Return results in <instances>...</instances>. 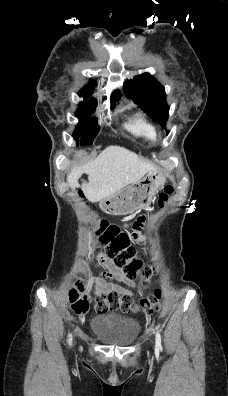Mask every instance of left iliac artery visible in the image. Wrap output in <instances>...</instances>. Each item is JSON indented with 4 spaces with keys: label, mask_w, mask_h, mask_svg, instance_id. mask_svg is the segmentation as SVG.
I'll list each match as a JSON object with an SVG mask.
<instances>
[{
    "label": "left iliac artery",
    "mask_w": 228,
    "mask_h": 396,
    "mask_svg": "<svg viewBox=\"0 0 228 396\" xmlns=\"http://www.w3.org/2000/svg\"><path fill=\"white\" fill-rule=\"evenodd\" d=\"M156 350L157 351H161L162 350L161 335H160L159 331L156 332Z\"/></svg>",
    "instance_id": "44dca946"
}]
</instances>
